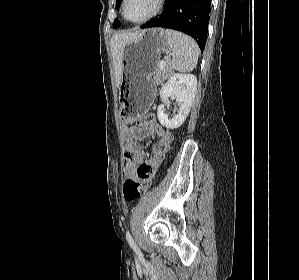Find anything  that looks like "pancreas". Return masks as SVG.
I'll use <instances>...</instances> for the list:
<instances>
[{"label": "pancreas", "mask_w": 299, "mask_h": 280, "mask_svg": "<svg viewBox=\"0 0 299 280\" xmlns=\"http://www.w3.org/2000/svg\"><path fill=\"white\" fill-rule=\"evenodd\" d=\"M170 74H171V70L168 64H165L164 69H160V64H159L154 73L153 79L156 84L161 85L163 81H165L170 76Z\"/></svg>", "instance_id": "cf45deb5"}]
</instances>
